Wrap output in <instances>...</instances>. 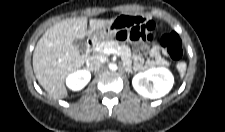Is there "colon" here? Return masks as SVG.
<instances>
[{"mask_svg": "<svg viewBox=\"0 0 225 132\" xmlns=\"http://www.w3.org/2000/svg\"><path fill=\"white\" fill-rule=\"evenodd\" d=\"M154 29L155 24L152 21H147L139 25L120 29L117 33V37L124 41L149 40L153 38ZM160 43L171 59L179 60L182 57V43L175 32H169L162 35Z\"/></svg>", "mask_w": 225, "mask_h": 132, "instance_id": "colon-1", "label": "colon"}]
</instances>
